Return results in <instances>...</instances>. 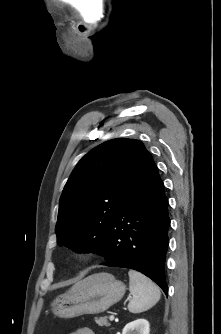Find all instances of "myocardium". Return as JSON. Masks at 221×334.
Returning a JSON list of instances; mask_svg holds the SVG:
<instances>
[{
	"instance_id": "f54148a6",
	"label": "myocardium",
	"mask_w": 221,
	"mask_h": 334,
	"mask_svg": "<svg viewBox=\"0 0 221 334\" xmlns=\"http://www.w3.org/2000/svg\"><path fill=\"white\" fill-rule=\"evenodd\" d=\"M94 256V251L89 248H82L74 252V260L77 263H86Z\"/></svg>"
}]
</instances>
